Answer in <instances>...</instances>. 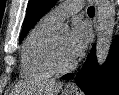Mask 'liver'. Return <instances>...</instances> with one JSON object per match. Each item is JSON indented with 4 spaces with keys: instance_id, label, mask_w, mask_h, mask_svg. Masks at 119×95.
I'll list each match as a JSON object with an SVG mask.
<instances>
[{
    "instance_id": "liver-1",
    "label": "liver",
    "mask_w": 119,
    "mask_h": 95,
    "mask_svg": "<svg viewBox=\"0 0 119 95\" xmlns=\"http://www.w3.org/2000/svg\"><path fill=\"white\" fill-rule=\"evenodd\" d=\"M63 84L56 80L36 81L32 84L21 83L14 93H28L29 95H58ZM17 95V94H16Z\"/></svg>"
}]
</instances>
